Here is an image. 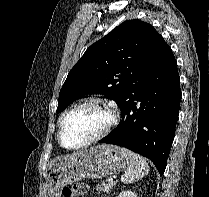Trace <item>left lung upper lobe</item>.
<instances>
[{
	"label": "left lung upper lobe",
	"mask_w": 209,
	"mask_h": 197,
	"mask_svg": "<svg viewBox=\"0 0 209 197\" xmlns=\"http://www.w3.org/2000/svg\"><path fill=\"white\" fill-rule=\"evenodd\" d=\"M165 43L150 24L138 19L123 22L92 44L70 70L57 112L85 94H103L120 105Z\"/></svg>",
	"instance_id": "5c2ea615"
}]
</instances>
